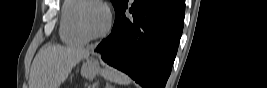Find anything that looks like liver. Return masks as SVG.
I'll return each instance as SVG.
<instances>
[{
  "instance_id": "obj_1",
  "label": "liver",
  "mask_w": 267,
  "mask_h": 88,
  "mask_svg": "<svg viewBox=\"0 0 267 88\" xmlns=\"http://www.w3.org/2000/svg\"><path fill=\"white\" fill-rule=\"evenodd\" d=\"M89 55L88 49L75 46L43 47L32 63L29 88H59L73 67Z\"/></svg>"
}]
</instances>
